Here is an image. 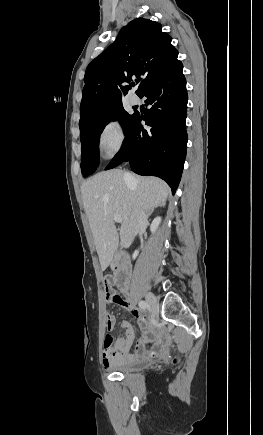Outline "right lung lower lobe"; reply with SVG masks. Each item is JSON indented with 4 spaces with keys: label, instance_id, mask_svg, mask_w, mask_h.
<instances>
[{
    "label": "right lung lower lobe",
    "instance_id": "obj_1",
    "mask_svg": "<svg viewBox=\"0 0 263 435\" xmlns=\"http://www.w3.org/2000/svg\"><path fill=\"white\" fill-rule=\"evenodd\" d=\"M179 62L154 81L140 97H147L144 115L135 118L125 135L121 150L106 170L129 161L139 175H153L165 180L174 194L183 171L187 148L185 126L187 111L186 80ZM144 120L150 129H144Z\"/></svg>",
    "mask_w": 263,
    "mask_h": 435
}]
</instances>
